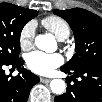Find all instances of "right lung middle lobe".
Here are the masks:
<instances>
[{
	"label": "right lung middle lobe",
	"instance_id": "dd1d6c3e",
	"mask_svg": "<svg viewBox=\"0 0 102 102\" xmlns=\"http://www.w3.org/2000/svg\"><path fill=\"white\" fill-rule=\"evenodd\" d=\"M37 15L36 10L10 3L0 4V63L8 64L18 59L21 31Z\"/></svg>",
	"mask_w": 102,
	"mask_h": 102
}]
</instances>
